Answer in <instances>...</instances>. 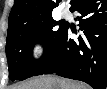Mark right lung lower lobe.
Segmentation results:
<instances>
[{
  "mask_svg": "<svg viewBox=\"0 0 107 89\" xmlns=\"http://www.w3.org/2000/svg\"><path fill=\"white\" fill-rule=\"evenodd\" d=\"M70 10L77 17L83 36L69 39L67 25L56 48L33 76L56 73L80 80L94 89L107 87V0H75Z\"/></svg>",
  "mask_w": 107,
  "mask_h": 89,
  "instance_id": "1",
  "label": "right lung lower lobe"
}]
</instances>
